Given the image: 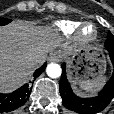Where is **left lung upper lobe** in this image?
<instances>
[{
    "label": "left lung upper lobe",
    "mask_w": 114,
    "mask_h": 114,
    "mask_svg": "<svg viewBox=\"0 0 114 114\" xmlns=\"http://www.w3.org/2000/svg\"><path fill=\"white\" fill-rule=\"evenodd\" d=\"M105 46H114V36L111 32H108V39L105 42Z\"/></svg>",
    "instance_id": "5c2ea615"
}]
</instances>
